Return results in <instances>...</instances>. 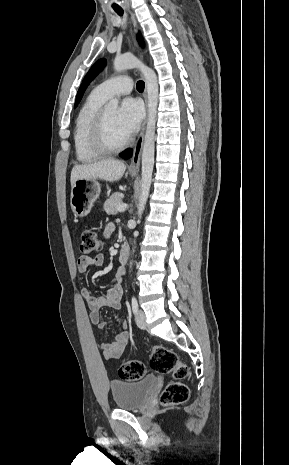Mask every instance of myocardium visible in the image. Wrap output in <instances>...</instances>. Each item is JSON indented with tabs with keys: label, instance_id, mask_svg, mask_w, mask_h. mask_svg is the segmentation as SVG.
Instances as JSON below:
<instances>
[{
	"label": "myocardium",
	"instance_id": "1",
	"mask_svg": "<svg viewBox=\"0 0 289 465\" xmlns=\"http://www.w3.org/2000/svg\"><path fill=\"white\" fill-rule=\"evenodd\" d=\"M107 106H103L94 117L91 126V142L93 147L104 154L115 153L128 146L130 139L120 143H112L107 132Z\"/></svg>",
	"mask_w": 289,
	"mask_h": 465
}]
</instances>
